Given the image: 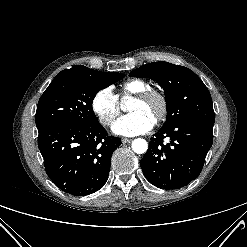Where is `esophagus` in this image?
I'll use <instances>...</instances> for the list:
<instances>
[{"mask_svg": "<svg viewBox=\"0 0 247 247\" xmlns=\"http://www.w3.org/2000/svg\"><path fill=\"white\" fill-rule=\"evenodd\" d=\"M132 141L131 138H122V142L125 143H130Z\"/></svg>", "mask_w": 247, "mask_h": 247, "instance_id": "obj_1", "label": "esophagus"}]
</instances>
